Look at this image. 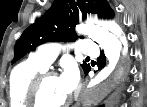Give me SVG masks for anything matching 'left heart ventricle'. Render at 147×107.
I'll return each mask as SVG.
<instances>
[{
	"mask_svg": "<svg viewBox=\"0 0 147 107\" xmlns=\"http://www.w3.org/2000/svg\"><path fill=\"white\" fill-rule=\"evenodd\" d=\"M68 94L64 93L58 77L47 79L41 90V99L47 105H57L68 99Z\"/></svg>",
	"mask_w": 147,
	"mask_h": 107,
	"instance_id": "obj_1",
	"label": "left heart ventricle"
}]
</instances>
